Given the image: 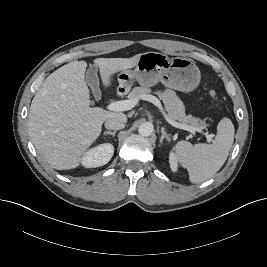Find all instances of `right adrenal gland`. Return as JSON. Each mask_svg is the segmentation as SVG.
<instances>
[{
	"mask_svg": "<svg viewBox=\"0 0 267 267\" xmlns=\"http://www.w3.org/2000/svg\"><path fill=\"white\" fill-rule=\"evenodd\" d=\"M103 134L104 135H112L114 137L115 134H116V131H113V132H111V131H105Z\"/></svg>",
	"mask_w": 267,
	"mask_h": 267,
	"instance_id": "right-adrenal-gland-1",
	"label": "right adrenal gland"
}]
</instances>
